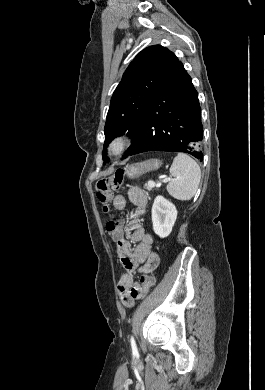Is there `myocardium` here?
<instances>
[{
    "instance_id": "1",
    "label": "myocardium",
    "mask_w": 265,
    "mask_h": 390,
    "mask_svg": "<svg viewBox=\"0 0 265 390\" xmlns=\"http://www.w3.org/2000/svg\"><path fill=\"white\" fill-rule=\"evenodd\" d=\"M130 142L131 138L126 133L115 136L109 143L108 154L113 158L121 156L130 145Z\"/></svg>"
}]
</instances>
